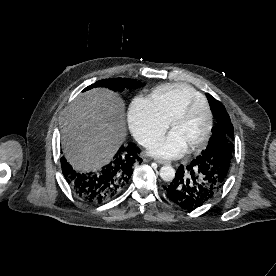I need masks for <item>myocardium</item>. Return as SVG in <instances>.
Masks as SVG:
<instances>
[{"mask_svg": "<svg viewBox=\"0 0 276 276\" xmlns=\"http://www.w3.org/2000/svg\"><path fill=\"white\" fill-rule=\"evenodd\" d=\"M199 107H202L207 112L208 124L203 137L196 144L188 148V152L199 151L208 143L214 126V115L211 107L206 101H191L170 120V127L172 128L175 123L189 118Z\"/></svg>", "mask_w": 276, "mask_h": 276, "instance_id": "myocardium-1", "label": "myocardium"}]
</instances>
